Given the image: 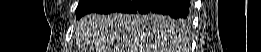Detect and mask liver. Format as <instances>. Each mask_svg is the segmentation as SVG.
Masks as SVG:
<instances>
[{
    "label": "liver",
    "mask_w": 261,
    "mask_h": 52,
    "mask_svg": "<svg viewBox=\"0 0 261 52\" xmlns=\"http://www.w3.org/2000/svg\"><path fill=\"white\" fill-rule=\"evenodd\" d=\"M166 16L90 14L80 21L84 52H177L186 26ZM86 46V47H85Z\"/></svg>",
    "instance_id": "1"
}]
</instances>
